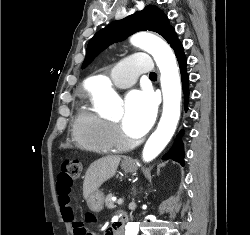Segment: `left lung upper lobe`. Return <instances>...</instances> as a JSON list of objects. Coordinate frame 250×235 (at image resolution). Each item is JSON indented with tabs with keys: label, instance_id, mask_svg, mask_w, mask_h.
Masks as SVG:
<instances>
[{
	"label": "left lung upper lobe",
	"instance_id": "left-lung-upper-lobe-1",
	"mask_svg": "<svg viewBox=\"0 0 250 235\" xmlns=\"http://www.w3.org/2000/svg\"><path fill=\"white\" fill-rule=\"evenodd\" d=\"M141 30L157 32L168 43H171L176 36L167 16L156 6L148 5L142 11H138L123 20L114 21L99 30L88 43L83 68L109 45L124 40L129 35Z\"/></svg>",
	"mask_w": 250,
	"mask_h": 235
}]
</instances>
